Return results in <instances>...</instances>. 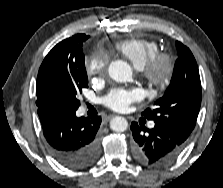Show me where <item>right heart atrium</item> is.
Instances as JSON below:
<instances>
[{
    "mask_svg": "<svg viewBox=\"0 0 223 188\" xmlns=\"http://www.w3.org/2000/svg\"><path fill=\"white\" fill-rule=\"evenodd\" d=\"M105 68V61L99 54H93L87 64L89 74H96L103 71Z\"/></svg>",
    "mask_w": 223,
    "mask_h": 188,
    "instance_id": "d8ad5b80",
    "label": "right heart atrium"
}]
</instances>
